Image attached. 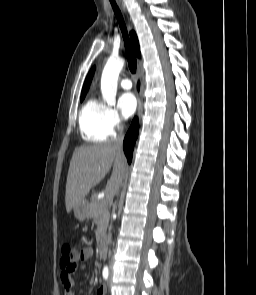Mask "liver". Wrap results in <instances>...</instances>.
<instances>
[{"label":"liver","instance_id":"obj_1","mask_svg":"<svg viewBox=\"0 0 256 295\" xmlns=\"http://www.w3.org/2000/svg\"><path fill=\"white\" fill-rule=\"evenodd\" d=\"M126 160L122 150L114 144H91L77 148L70 161L65 205L69 213L85 201L90 189L97 185L113 166L106 185V192L113 196L117 193L125 173Z\"/></svg>","mask_w":256,"mask_h":295}]
</instances>
